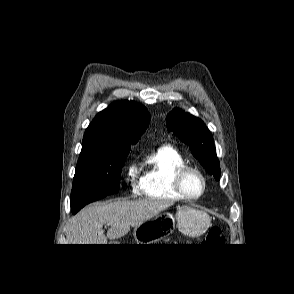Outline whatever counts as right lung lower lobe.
Returning a JSON list of instances; mask_svg holds the SVG:
<instances>
[{
  "instance_id": "right-lung-lower-lobe-1",
  "label": "right lung lower lobe",
  "mask_w": 294,
  "mask_h": 294,
  "mask_svg": "<svg viewBox=\"0 0 294 294\" xmlns=\"http://www.w3.org/2000/svg\"><path fill=\"white\" fill-rule=\"evenodd\" d=\"M81 208H74L72 209L73 214L77 213Z\"/></svg>"
}]
</instances>
